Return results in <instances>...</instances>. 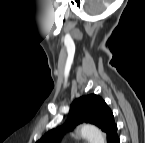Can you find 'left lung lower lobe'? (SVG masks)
<instances>
[{"instance_id": "left-lung-lower-lobe-1", "label": "left lung lower lobe", "mask_w": 145, "mask_h": 143, "mask_svg": "<svg viewBox=\"0 0 145 143\" xmlns=\"http://www.w3.org/2000/svg\"><path fill=\"white\" fill-rule=\"evenodd\" d=\"M111 143H120L119 137L117 136L116 138H114Z\"/></svg>"}]
</instances>
